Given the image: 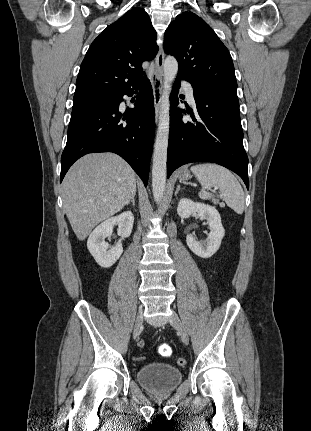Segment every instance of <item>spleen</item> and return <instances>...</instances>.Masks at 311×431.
I'll return each mask as SVG.
<instances>
[{
	"label": "spleen",
	"instance_id": "spleen-1",
	"mask_svg": "<svg viewBox=\"0 0 311 431\" xmlns=\"http://www.w3.org/2000/svg\"><path fill=\"white\" fill-rule=\"evenodd\" d=\"M202 186L198 196L201 200H211L214 194L207 192L208 188H218L219 198L226 202L236 214H243L245 208L244 192L235 176L217 164H197L190 168Z\"/></svg>",
	"mask_w": 311,
	"mask_h": 431
}]
</instances>
